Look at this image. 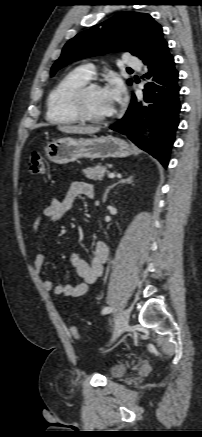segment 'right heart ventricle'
I'll return each instance as SVG.
<instances>
[{"label": "right heart ventricle", "instance_id": "right-heart-ventricle-1", "mask_svg": "<svg viewBox=\"0 0 202 437\" xmlns=\"http://www.w3.org/2000/svg\"><path fill=\"white\" fill-rule=\"evenodd\" d=\"M90 78L82 71L75 69L67 73L50 91L46 101V118L53 124H75L80 120L70 106V96L82 83Z\"/></svg>", "mask_w": 202, "mask_h": 437}]
</instances>
